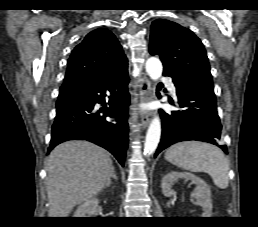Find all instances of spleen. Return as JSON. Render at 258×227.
Returning a JSON list of instances; mask_svg holds the SVG:
<instances>
[{
  "mask_svg": "<svg viewBox=\"0 0 258 227\" xmlns=\"http://www.w3.org/2000/svg\"><path fill=\"white\" fill-rule=\"evenodd\" d=\"M165 159L182 169L209 174L220 189L228 187L229 164L216 146L197 141L179 142L167 149Z\"/></svg>",
  "mask_w": 258,
  "mask_h": 227,
  "instance_id": "1",
  "label": "spleen"
}]
</instances>
